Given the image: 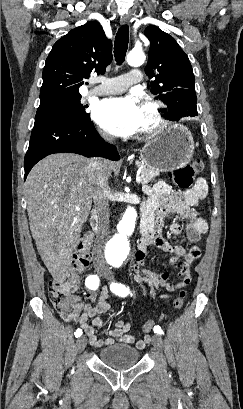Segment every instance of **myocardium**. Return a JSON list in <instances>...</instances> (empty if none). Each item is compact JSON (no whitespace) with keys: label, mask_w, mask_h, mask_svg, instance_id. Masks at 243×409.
I'll return each mask as SVG.
<instances>
[{"label":"myocardium","mask_w":243,"mask_h":409,"mask_svg":"<svg viewBox=\"0 0 243 409\" xmlns=\"http://www.w3.org/2000/svg\"><path fill=\"white\" fill-rule=\"evenodd\" d=\"M143 105L149 109L153 119V124L150 127L141 130V135L150 137L159 134L167 126V121L163 114L162 104L151 95L146 94L143 96Z\"/></svg>","instance_id":"1"}]
</instances>
